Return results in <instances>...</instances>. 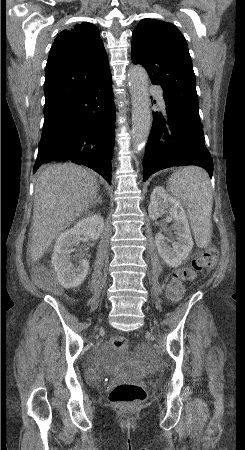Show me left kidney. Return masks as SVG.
<instances>
[{
	"instance_id": "obj_1",
	"label": "left kidney",
	"mask_w": 245,
	"mask_h": 450,
	"mask_svg": "<svg viewBox=\"0 0 245 450\" xmlns=\"http://www.w3.org/2000/svg\"><path fill=\"white\" fill-rule=\"evenodd\" d=\"M149 217L156 220L163 214H167L169 220L174 221L177 240L169 245L161 232L155 235V245L164 262L170 267H179L187 258L194 243L186 213L182 204L170 196L164 188L156 187L151 196L148 207Z\"/></svg>"
}]
</instances>
